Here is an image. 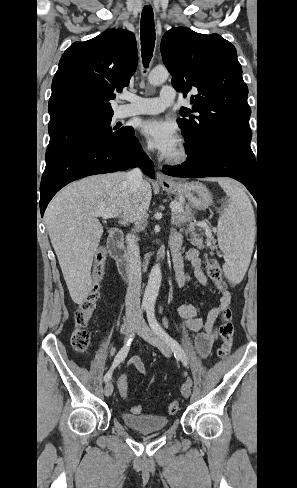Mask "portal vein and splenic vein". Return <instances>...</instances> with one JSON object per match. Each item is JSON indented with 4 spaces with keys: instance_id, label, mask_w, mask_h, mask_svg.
<instances>
[{
    "instance_id": "1",
    "label": "portal vein and splenic vein",
    "mask_w": 297,
    "mask_h": 488,
    "mask_svg": "<svg viewBox=\"0 0 297 488\" xmlns=\"http://www.w3.org/2000/svg\"><path fill=\"white\" fill-rule=\"evenodd\" d=\"M170 208L172 209V211L178 210L179 206L177 204L171 203ZM94 215L95 216H101L102 218L106 219V218L115 217L117 215V211L115 209H105V210H101L99 212H96Z\"/></svg>"
}]
</instances>
